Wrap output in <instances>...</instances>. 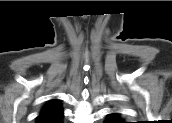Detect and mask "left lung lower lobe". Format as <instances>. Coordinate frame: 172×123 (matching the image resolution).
<instances>
[{"label":"left lung lower lobe","mask_w":172,"mask_h":123,"mask_svg":"<svg viewBox=\"0 0 172 123\" xmlns=\"http://www.w3.org/2000/svg\"><path fill=\"white\" fill-rule=\"evenodd\" d=\"M106 123H114L113 121L107 120Z\"/></svg>","instance_id":"0a47b994"}]
</instances>
